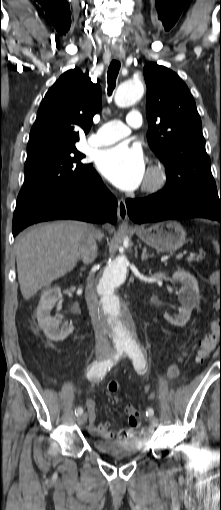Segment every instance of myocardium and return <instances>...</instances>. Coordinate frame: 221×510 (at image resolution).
<instances>
[{
	"label": "myocardium",
	"instance_id": "obj_1",
	"mask_svg": "<svg viewBox=\"0 0 221 510\" xmlns=\"http://www.w3.org/2000/svg\"><path fill=\"white\" fill-rule=\"evenodd\" d=\"M167 180L165 167L160 163L152 164L147 170L142 190L147 194L158 193L165 187Z\"/></svg>",
	"mask_w": 221,
	"mask_h": 510
}]
</instances>
